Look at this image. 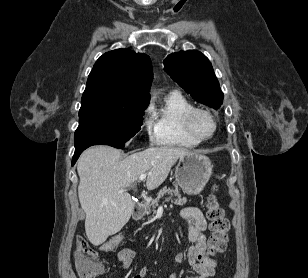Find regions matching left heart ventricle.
I'll return each instance as SVG.
<instances>
[{
  "instance_id": "left-heart-ventricle-1",
  "label": "left heart ventricle",
  "mask_w": 308,
  "mask_h": 278,
  "mask_svg": "<svg viewBox=\"0 0 308 278\" xmlns=\"http://www.w3.org/2000/svg\"><path fill=\"white\" fill-rule=\"evenodd\" d=\"M192 127L197 135L207 136L213 130V123L206 114L197 113L192 119Z\"/></svg>"
}]
</instances>
